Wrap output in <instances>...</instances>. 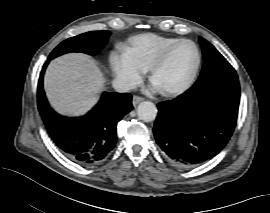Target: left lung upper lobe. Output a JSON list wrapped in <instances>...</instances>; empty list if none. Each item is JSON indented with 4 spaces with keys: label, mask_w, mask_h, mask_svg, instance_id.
<instances>
[{
    "label": "left lung upper lobe",
    "mask_w": 270,
    "mask_h": 213,
    "mask_svg": "<svg viewBox=\"0 0 270 213\" xmlns=\"http://www.w3.org/2000/svg\"><path fill=\"white\" fill-rule=\"evenodd\" d=\"M204 56V65L202 72L196 83L189 89H196L211 80L233 71L234 68L229 62L216 50V48L203 38L199 39Z\"/></svg>",
    "instance_id": "1"
}]
</instances>
